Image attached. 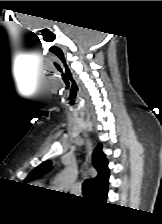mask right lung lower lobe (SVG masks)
Listing matches in <instances>:
<instances>
[{
  "instance_id": "98d812e1",
  "label": "right lung lower lobe",
  "mask_w": 162,
  "mask_h": 224,
  "mask_svg": "<svg viewBox=\"0 0 162 224\" xmlns=\"http://www.w3.org/2000/svg\"><path fill=\"white\" fill-rule=\"evenodd\" d=\"M107 194H108V190L106 192H104L103 194L99 195L97 198L99 200L105 201L107 198Z\"/></svg>"
}]
</instances>
